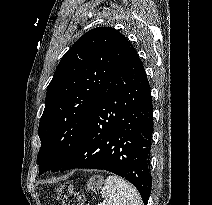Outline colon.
Segmentation results:
<instances>
[{
  "instance_id": "colon-1",
  "label": "colon",
  "mask_w": 212,
  "mask_h": 205,
  "mask_svg": "<svg viewBox=\"0 0 212 205\" xmlns=\"http://www.w3.org/2000/svg\"><path fill=\"white\" fill-rule=\"evenodd\" d=\"M54 195L62 205H84L82 197L74 191L70 184L58 186Z\"/></svg>"
}]
</instances>
